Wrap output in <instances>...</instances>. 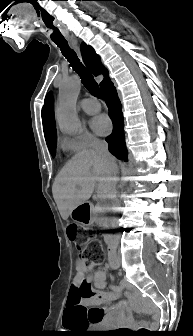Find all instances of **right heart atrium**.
Masks as SVG:
<instances>
[{
  "label": "right heart atrium",
  "instance_id": "d8ad5b80",
  "mask_svg": "<svg viewBox=\"0 0 193 336\" xmlns=\"http://www.w3.org/2000/svg\"><path fill=\"white\" fill-rule=\"evenodd\" d=\"M98 143V139L86 130H81L78 134L65 137L62 141L63 147L68 151H85Z\"/></svg>",
  "mask_w": 193,
  "mask_h": 336
}]
</instances>
